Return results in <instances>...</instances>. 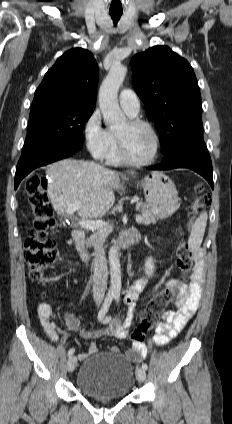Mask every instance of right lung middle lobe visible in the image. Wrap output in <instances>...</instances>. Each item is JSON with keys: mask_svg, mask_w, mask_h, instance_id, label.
I'll use <instances>...</instances> for the list:
<instances>
[{"mask_svg": "<svg viewBox=\"0 0 232 424\" xmlns=\"http://www.w3.org/2000/svg\"><path fill=\"white\" fill-rule=\"evenodd\" d=\"M94 109L72 105H46L31 108L23 149L38 141L81 143L85 123Z\"/></svg>", "mask_w": 232, "mask_h": 424, "instance_id": "right-lung-middle-lobe-1", "label": "right lung middle lobe"}]
</instances>
